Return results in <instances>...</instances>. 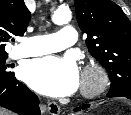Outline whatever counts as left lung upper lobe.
<instances>
[{
    "instance_id": "5c2ea615",
    "label": "left lung upper lobe",
    "mask_w": 131,
    "mask_h": 115,
    "mask_svg": "<svg viewBox=\"0 0 131 115\" xmlns=\"http://www.w3.org/2000/svg\"><path fill=\"white\" fill-rule=\"evenodd\" d=\"M89 53L107 70L108 96L131 97V22L111 0H75Z\"/></svg>"
}]
</instances>
